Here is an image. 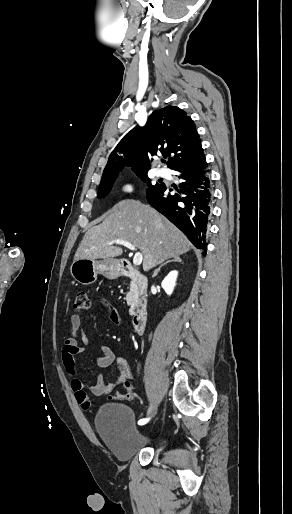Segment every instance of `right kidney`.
<instances>
[{
  "instance_id": "obj_1",
  "label": "right kidney",
  "mask_w": 292,
  "mask_h": 514,
  "mask_svg": "<svg viewBox=\"0 0 292 514\" xmlns=\"http://www.w3.org/2000/svg\"><path fill=\"white\" fill-rule=\"evenodd\" d=\"M178 276V272L177 270H173V272H169L168 276H166V278H164L161 286L163 288V290H165L166 294H168V296H170V294H172L176 284V278Z\"/></svg>"
}]
</instances>
